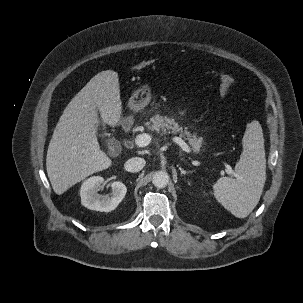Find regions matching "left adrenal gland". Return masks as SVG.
<instances>
[{
  "label": "left adrenal gland",
  "mask_w": 303,
  "mask_h": 303,
  "mask_svg": "<svg viewBox=\"0 0 303 303\" xmlns=\"http://www.w3.org/2000/svg\"><path fill=\"white\" fill-rule=\"evenodd\" d=\"M181 160L185 161L184 158H181ZM178 169L180 170L181 175H186V174L191 173V171H186V170L182 169L181 167H178Z\"/></svg>",
  "instance_id": "left-adrenal-gland-1"
}]
</instances>
